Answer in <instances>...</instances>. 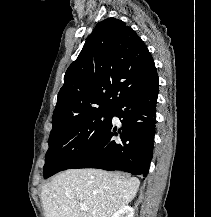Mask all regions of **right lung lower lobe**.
<instances>
[{
    "label": "right lung lower lobe",
    "instance_id": "1",
    "mask_svg": "<svg viewBox=\"0 0 211 217\" xmlns=\"http://www.w3.org/2000/svg\"><path fill=\"white\" fill-rule=\"evenodd\" d=\"M158 86L156 74L133 88L113 109L121 127L112 122L96 146L68 169L121 170L146 177L153 151Z\"/></svg>",
    "mask_w": 211,
    "mask_h": 217
}]
</instances>
